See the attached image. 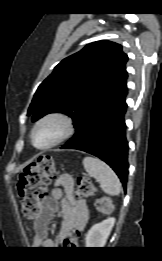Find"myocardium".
<instances>
[{"label": "myocardium", "mask_w": 162, "mask_h": 261, "mask_svg": "<svg viewBox=\"0 0 162 261\" xmlns=\"http://www.w3.org/2000/svg\"><path fill=\"white\" fill-rule=\"evenodd\" d=\"M50 122L58 124L59 126L58 134L47 144L43 146H37L34 141V136L36 131L44 124ZM73 133H74V124L70 116L61 112H51L42 116L40 119L37 120V122L34 124L31 130L30 140L34 148L44 151L59 145L63 141L67 140Z\"/></svg>", "instance_id": "myocardium-1"}]
</instances>
